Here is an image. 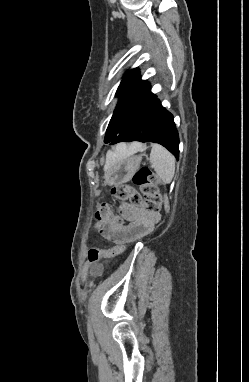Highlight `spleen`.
I'll use <instances>...</instances> for the list:
<instances>
[{
	"instance_id": "obj_1",
	"label": "spleen",
	"mask_w": 249,
	"mask_h": 382,
	"mask_svg": "<svg viewBox=\"0 0 249 382\" xmlns=\"http://www.w3.org/2000/svg\"><path fill=\"white\" fill-rule=\"evenodd\" d=\"M150 162L155 172L164 183H171L175 173V158L163 146L153 144L150 153Z\"/></svg>"
}]
</instances>
